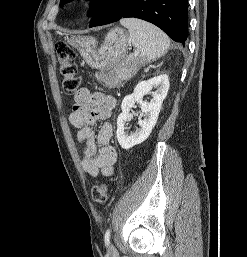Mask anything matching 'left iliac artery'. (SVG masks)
Returning <instances> with one entry per match:
<instances>
[{
	"label": "left iliac artery",
	"mask_w": 247,
	"mask_h": 257,
	"mask_svg": "<svg viewBox=\"0 0 247 257\" xmlns=\"http://www.w3.org/2000/svg\"><path fill=\"white\" fill-rule=\"evenodd\" d=\"M104 241H105L106 246H109V244H110V230L109 229L106 230V233L104 236Z\"/></svg>",
	"instance_id": "obj_1"
}]
</instances>
